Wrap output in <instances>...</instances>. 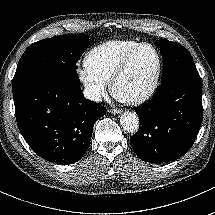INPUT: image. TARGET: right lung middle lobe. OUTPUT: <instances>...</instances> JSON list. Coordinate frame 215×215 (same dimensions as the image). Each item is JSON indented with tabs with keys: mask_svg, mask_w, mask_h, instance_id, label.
I'll return each instance as SVG.
<instances>
[{
	"mask_svg": "<svg viewBox=\"0 0 215 215\" xmlns=\"http://www.w3.org/2000/svg\"><path fill=\"white\" fill-rule=\"evenodd\" d=\"M89 45V36L65 34L31 44L19 60L12 91L36 82L80 85L76 63Z\"/></svg>",
	"mask_w": 215,
	"mask_h": 215,
	"instance_id": "1",
	"label": "right lung middle lobe"
}]
</instances>
